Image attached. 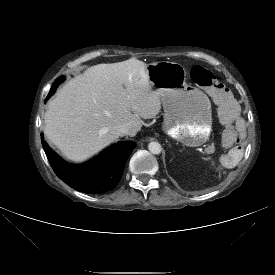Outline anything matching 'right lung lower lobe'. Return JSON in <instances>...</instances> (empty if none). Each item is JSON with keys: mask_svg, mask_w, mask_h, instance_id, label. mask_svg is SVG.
<instances>
[{"mask_svg": "<svg viewBox=\"0 0 275 275\" xmlns=\"http://www.w3.org/2000/svg\"><path fill=\"white\" fill-rule=\"evenodd\" d=\"M42 146L56 175L73 189L101 194L113 189L121 179L129 155L136 147L133 142H119L105 149L91 161L76 166L63 161L43 140Z\"/></svg>", "mask_w": 275, "mask_h": 275, "instance_id": "obj_1", "label": "right lung lower lobe"}]
</instances>
